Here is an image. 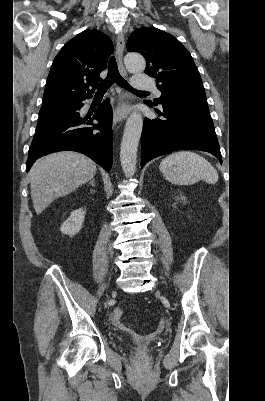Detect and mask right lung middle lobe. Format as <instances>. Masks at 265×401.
<instances>
[{
	"mask_svg": "<svg viewBox=\"0 0 265 401\" xmlns=\"http://www.w3.org/2000/svg\"><path fill=\"white\" fill-rule=\"evenodd\" d=\"M81 104L82 101H64V102L42 105L39 111V116L49 112H73Z\"/></svg>",
	"mask_w": 265,
	"mask_h": 401,
	"instance_id": "dd1d6c3e",
	"label": "right lung middle lobe"
}]
</instances>
